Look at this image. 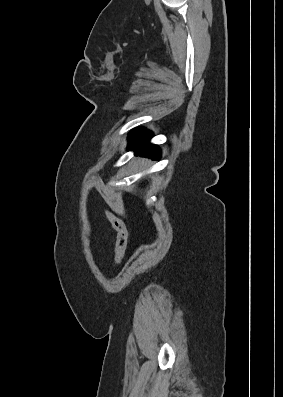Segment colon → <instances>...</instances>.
I'll return each mask as SVG.
<instances>
[{"mask_svg":"<svg viewBox=\"0 0 283 397\" xmlns=\"http://www.w3.org/2000/svg\"><path fill=\"white\" fill-rule=\"evenodd\" d=\"M105 214L107 220L110 222V224L117 233L114 262H115V266H119L127 247L128 233H129L128 227L121 218H119L111 211L106 210Z\"/></svg>","mask_w":283,"mask_h":397,"instance_id":"5ec220e1","label":"colon"}]
</instances>
